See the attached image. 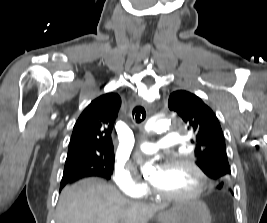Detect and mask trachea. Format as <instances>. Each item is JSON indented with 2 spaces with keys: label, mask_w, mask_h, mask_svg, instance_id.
Wrapping results in <instances>:
<instances>
[{
  "label": "trachea",
  "mask_w": 267,
  "mask_h": 223,
  "mask_svg": "<svg viewBox=\"0 0 267 223\" xmlns=\"http://www.w3.org/2000/svg\"><path fill=\"white\" fill-rule=\"evenodd\" d=\"M132 116L135 118L136 123H141L146 118V111L142 106H136L133 109Z\"/></svg>",
  "instance_id": "obj_1"
}]
</instances>
